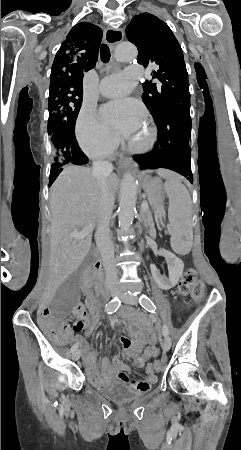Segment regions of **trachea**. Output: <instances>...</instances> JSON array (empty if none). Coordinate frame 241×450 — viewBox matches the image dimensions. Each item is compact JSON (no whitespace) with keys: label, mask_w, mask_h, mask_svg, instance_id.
<instances>
[{"label":"trachea","mask_w":241,"mask_h":450,"mask_svg":"<svg viewBox=\"0 0 241 450\" xmlns=\"http://www.w3.org/2000/svg\"><path fill=\"white\" fill-rule=\"evenodd\" d=\"M110 56H111L110 49H109L108 45H105V44L101 45L100 57H101L102 62H104V63L108 62L110 59Z\"/></svg>","instance_id":"1"}]
</instances>
